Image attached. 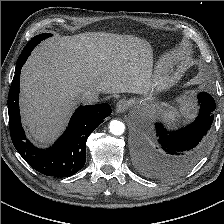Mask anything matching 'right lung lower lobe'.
<instances>
[{
  "instance_id": "98d812e1",
  "label": "right lung lower lobe",
  "mask_w": 224,
  "mask_h": 224,
  "mask_svg": "<svg viewBox=\"0 0 224 224\" xmlns=\"http://www.w3.org/2000/svg\"><path fill=\"white\" fill-rule=\"evenodd\" d=\"M35 46L27 44L21 52L8 95L9 126L12 142L23 159L38 172L55 177H69L86 162L88 136L108 117L109 104L79 106L64 134L47 149L35 147L25 136L19 112L20 71Z\"/></svg>"
}]
</instances>
